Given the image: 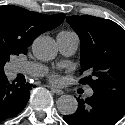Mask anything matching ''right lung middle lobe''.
Returning a JSON list of instances; mask_svg holds the SVG:
<instances>
[{
  "mask_svg": "<svg viewBox=\"0 0 125 125\" xmlns=\"http://www.w3.org/2000/svg\"><path fill=\"white\" fill-rule=\"evenodd\" d=\"M7 61H9V60H5V61L0 62V74H3V73H4L3 67H4V65H5V63H6Z\"/></svg>",
  "mask_w": 125,
  "mask_h": 125,
  "instance_id": "1",
  "label": "right lung middle lobe"
}]
</instances>
